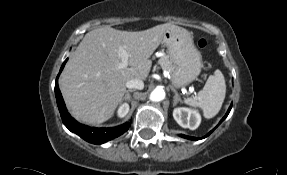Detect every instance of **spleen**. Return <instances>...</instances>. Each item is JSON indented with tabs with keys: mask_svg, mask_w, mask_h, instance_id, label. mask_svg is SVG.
I'll return each instance as SVG.
<instances>
[{
	"mask_svg": "<svg viewBox=\"0 0 287 175\" xmlns=\"http://www.w3.org/2000/svg\"><path fill=\"white\" fill-rule=\"evenodd\" d=\"M225 93L224 76L220 70H216L214 75L209 76L204 88L198 92L197 96L187 98L184 102L190 106L201 108L205 118H212L220 111Z\"/></svg>",
	"mask_w": 287,
	"mask_h": 175,
	"instance_id": "obj_1",
	"label": "spleen"
}]
</instances>
